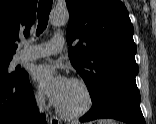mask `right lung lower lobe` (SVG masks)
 I'll return each mask as SVG.
<instances>
[{
  "label": "right lung lower lobe",
  "instance_id": "1",
  "mask_svg": "<svg viewBox=\"0 0 156 124\" xmlns=\"http://www.w3.org/2000/svg\"><path fill=\"white\" fill-rule=\"evenodd\" d=\"M0 123L46 124L38 112L28 74L10 77L0 68Z\"/></svg>",
  "mask_w": 156,
  "mask_h": 124
}]
</instances>
